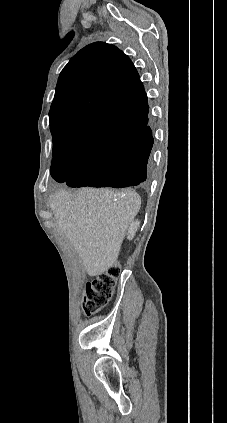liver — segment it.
<instances>
[{"instance_id": "6515ba94", "label": "liver", "mask_w": 227, "mask_h": 423, "mask_svg": "<svg viewBox=\"0 0 227 423\" xmlns=\"http://www.w3.org/2000/svg\"><path fill=\"white\" fill-rule=\"evenodd\" d=\"M50 206L59 231L75 247L88 275H101L116 263L141 198L127 190H59Z\"/></svg>"}]
</instances>
